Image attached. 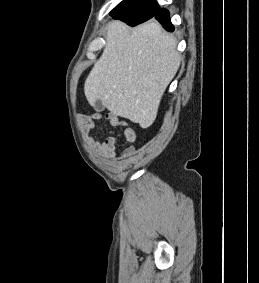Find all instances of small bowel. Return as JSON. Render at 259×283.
<instances>
[{"label":"small bowel","instance_id":"c3829d8e","mask_svg":"<svg viewBox=\"0 0 259 283\" xmlns=\"http://www.w3.org/2000/svg\"><path fill=\"white\" fill-rule=\"evenodd\" d=\"M102 119L108 120L112 126L123 127V134L127 143H133L136 140V132L133 127L114 113L103 115L99 112H94L90 115L81 116V120L84 122L85 129L88 132H91L95 127V123ZM117 145L118 141L115 137H108L102 143H97L98 149L109 160L115 158ZM125 154H127V152H125Z\"/></svg>","mask_w":259,"mask_h":283}]
</instances>
